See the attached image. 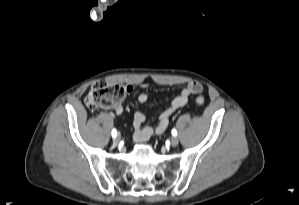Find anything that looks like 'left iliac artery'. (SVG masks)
<instances>
[{
	"mask_svg": "<svg viewBox=\"0 0 299 205\" xmlns=\"http://www.w3.org/2000/svg\"><path fill=\"white\" fill-rule=\"evenodd\" d=\"M171 133H172L173 136H176V135H177V131H176L175 129H173V130L171 131Z\"/></svg>",
	"mask_w": 299,
	"mask_h": 205,
	"instance_id": "1",
	"label": "left iliac artery"
}]
</instances>
